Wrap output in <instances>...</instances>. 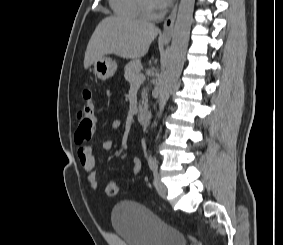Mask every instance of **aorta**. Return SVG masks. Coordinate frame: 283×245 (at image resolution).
I'll use <instances>...</instances> for the list:
<instances>
[{
  "label": "aorta",
  "instance_id": "aorta-1",
  "mask_svg": "<svg viewBox=\"0 0 283 245\" xmlns=\"http://www.w3.org/2000/svg\"><path fill=\"white\" fill-rule=\"evenodd\" d=\"M194 5L195 0H181L179 4L167 66L160 84L158 118H160L171 94L173 85L183 68L193 19ZM154 125H156V122Z\"/></svg>",
  "mask_w": 283,
  "mask_h": 245
}]
</instances>
